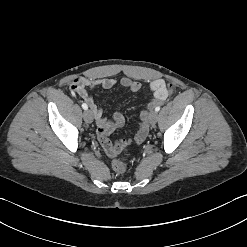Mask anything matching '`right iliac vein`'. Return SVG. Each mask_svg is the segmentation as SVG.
Returning <instances> with one entry per match:
<instances>
[{
  "label": "right iliac vein",
  "mask_w": 247,
  "mask_h": 247,
  "mask_svg": "<svg viewBox=\"0 0 247 247\" xmlns=\"http://www.w3.org/2000/svg\"><path fill=\"white\" fill-rule=\"evenodd\" d=\"M83 118L86 123H92L93 121V113L91 110H86L83 114Z\"/></svg>",
  "instance_id": "63e3f726"
}]
</instances>
